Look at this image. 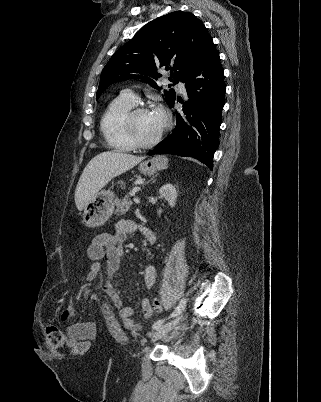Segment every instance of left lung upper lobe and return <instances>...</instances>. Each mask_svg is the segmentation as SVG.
Instances as JSON below:
<instances>
[{"mask_svg": "<svg viewBox=\"0 0 321 402\" xmlns=\"http://www.w3.org/2000/svg\"><path fill=\"white\" fill-rule=\"evenodd\" d=\"M211 38L204 24L192 13L172 12L151 21L116 51L101 72L96 99L112 83L141 78L155 88L161 75L158 68L171 70L174 85L178 83L205 43ZM170 104L176 98L174 89L164 91Z\"/></svg>", "mask_w": 321, "mask_h": 402, "instance_id": "1", "label": "left lung upper lobe"}]
</instances>
